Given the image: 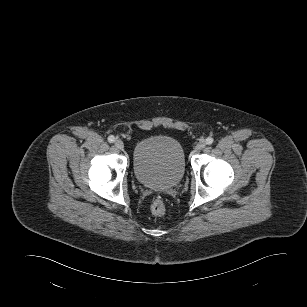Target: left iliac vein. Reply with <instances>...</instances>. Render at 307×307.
I'll return each instance as SVG.
<instances>
[{"mask_svg":"<svg viewBox=\"0 0 307 307\" xmlns=\"http://www.w3.org/2000/svg\"><path fill=\"white\" fill-rule=\"evenodd\" d=\"M205 146H206V143L204 141H200L199 143H197L195 150L200 151V150L204 149Z\"/></svg>","mask_w":307,"mask_h":307,"instance_id":"obj_1","label":"left iliac vein"}]
</instances>
